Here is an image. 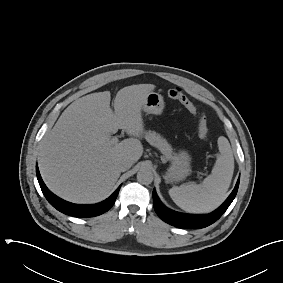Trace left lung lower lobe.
Instances as JSON below:
<instances>
[{
	"label": "left lung lower lobe",
	"mask_w": 283,
	"mask_h": 283,
	"mask_svg": "<svg viewBox=\"0 0 283 283\" xmlns=\"http://www.w3.org/2000/svg\"><path fill=\"white\" fill-rule=\"evenodd\" d=\"M239 180L236 183V186L230 196L226 199V201L214 212L210 214L205 215H190V214H183L178 213L175 211H172L165 207L162 202L159 200L155 190H153V204L154 209L157 213V215L166 223L178 227V228H184V229H197V228H204L215 221H217L222 214L227 210L229 205L234 200L238 186H239Z\"/></svg>",
	"instance_id": "obj_1"
}]
</instances>
